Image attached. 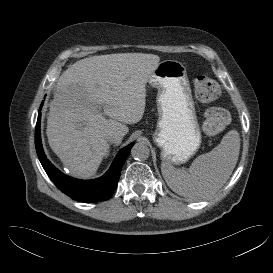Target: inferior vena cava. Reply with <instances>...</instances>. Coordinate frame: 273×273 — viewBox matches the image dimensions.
Returning a JSON list of instances; mask_svg holds the SVG:
<instances>
[{"label":"inferior vena cava","instance_id":"obj_1","mask_svg":"<svg viewBox=\"0 0 273 273\" xmlns=\"http://www.w3.org/2000/svg\"><path fill=\"white\" fill-rule=\"evenodd\" d=\"M107 141L111 144H120L122 139L119 135L117 134H112L107 137Z\"/></svg>","mask_w":273,"mask_h":273}]
</instances>
